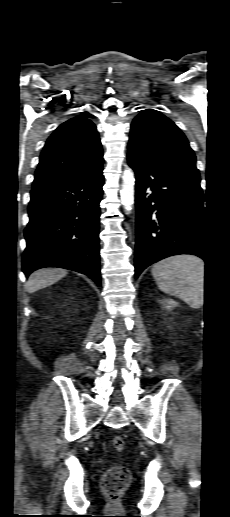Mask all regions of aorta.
I'll list each match as a JSON object with an SVG mask.
<instances>
[{"instance_id": "obj_1", "label": "aorta", "mask_w": 230, "mask_h": 517, "mask_svg": "<svg viewBox=\"0 0 230 517\" xmlns=\"http://www.w3.org/2000/svg\"><path fill=\"white\" fill-rule=\"evenodd\" d=\"M120 195L125 211L130 212L134 204L135 195V177L130 168H126L123 172Z\"/></svg>"}]
</instances>
